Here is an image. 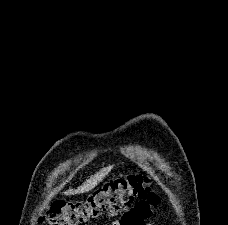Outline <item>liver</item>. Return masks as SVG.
<instances>
[{
	"label": "liver",
	"instance_id": "obj_1",
	"mask_svg": "<svg viewBox=\"0 0 228 225\" xmlns=\"http://www.w3.org/2000/svg\"><path fill=\"white\" fill-rule=\"evenodd\" d=\"M113 165H109V167H105V169H101L99 173H96V175H91L90 179H87L86 183H83L81 187H78V189H69V191H65L64 195H80V193H88V191H92V189H95L97 187L98 183L100 181H103L104 177L110 173Z\"/></svg>",
	"mask_w": 228,
	"mask_h": 225
}]
</instances>
